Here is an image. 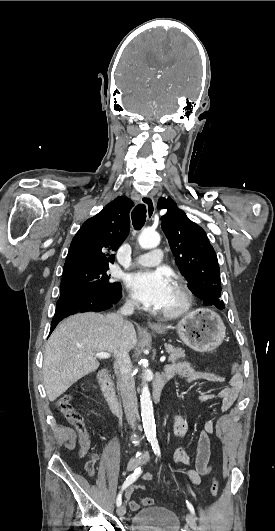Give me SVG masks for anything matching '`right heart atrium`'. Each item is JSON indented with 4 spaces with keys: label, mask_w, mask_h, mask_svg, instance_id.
<instances>
[{
    "label": "right heart atrium",
    "mask_w": 275,
    "mask_h": 531,
    "mask_svg": "<svg viewBox=\"0 0 275 531\" xmlns=\"http://www.w3.org/2000/svg\"><path fill=\"white\" fill-rule=\"evenodd\" d=\"M127 305L130 307V308H134L136 303H135V300L133 297L129 296L128 299H127Z\"/></svg>",
    "instance_id": "obj_1"
}]
</instances>
